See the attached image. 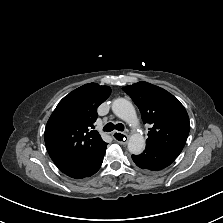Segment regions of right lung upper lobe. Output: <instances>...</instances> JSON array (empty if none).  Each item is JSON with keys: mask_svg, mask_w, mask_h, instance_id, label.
<instances>
[{"mask_svg": "<svg viewBox=\"0 0 223 223\" xmlns=\"http://www.w3.org/2000/svg\"><path fill=\"white\" fill-rule=\"evenodd\" d=\"M111 94V88L85 84L65 96L51 114L45 128L47 151L64 173L93 158L105 143L94 128L97 107Z\"/></svg>", "mask_w": 223, "mask_h": 223, "instance_id": "right-lung-upper-lobe-1", "label": "right lung upper lobe"}]
</instances>
